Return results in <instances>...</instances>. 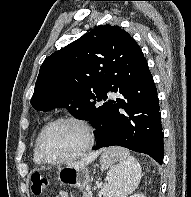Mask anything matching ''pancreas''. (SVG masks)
<instances>
[{"label": "pancreas", "instance_id": "pancreas-1", "mask_svg": "<svg viewBox=\"0 0 191 197\" xmlns=\"http://www.w3.org/2000/svg\"><path fill=\"white\" fill-rule=\"evenodd\" d=\"M82 197H92V195L90 194V192L88 190H85L83 192V196Z\"/></svg>", "mask_w": 191, "mask_h": 197}]
</instances>
